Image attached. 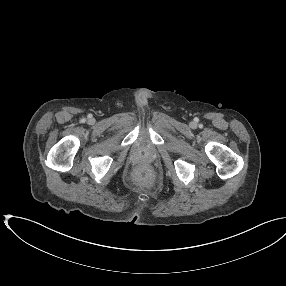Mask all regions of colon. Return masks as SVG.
Returning <instances> with one entry per match:
<instances>
[{
  "mask_svg": "<svg viewBox=\"0 0 286 286\" xmlns=\"http://www.w3.org/2000/svg\"><path fill=\"white\" fill-rule=\"evenodd\" d=\"M141 175H144V172H140Z\"/></svg>",
  "mask_w": 286,
  "mask_h": 286,
  "instance_id": "5ec220e1",
  "label": "colon"
}]
</instances>
